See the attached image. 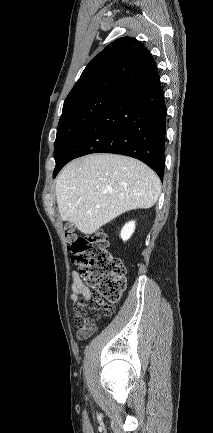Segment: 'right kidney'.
Segmentation results:
<instances>
[{
	"label": "right kidney",
	"instance_id": "ca27d5eb",
	"mask_svg": "<svg viewBox=\"0 0 213 433\" xmlns=\"http://www.w3.org/2000/svg\"><path fill=\"white\" fill-rule=\"evenodd\" d=\"M135 230V222L134 221H130L128 223H126L124 225V227L121 230L120 236L122 238L123 241H127L132 234L134 233Z\"/></svg>",
	"mask_w": 213,
	"mask_h": 433
}]
</instances>
